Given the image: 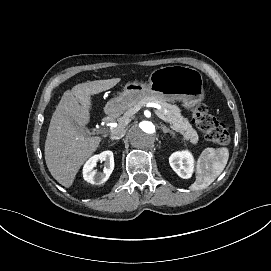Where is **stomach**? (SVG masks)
Listing matches in <instances>:
<instances>
[{
  "label": "stomach",
  "mask_w": 271,
  "mask_h": 271,
  "mask_svg": "<svg viewBox=\"0 0 271 271\" xmlns=\"http://www.w3.org/2000/svg\"><path fill=\"white\" fill-rule=\"evenodd\" d=\"M146 96L170 102L183 101L184 107L191 108L204 99L202 75L198 70L187 66L161 67L150 74L148 83H127L123 92L106 104L105 112L122 113Z\"/></svg>",
  "instance_id": "obj_1"
}]
</instances>
